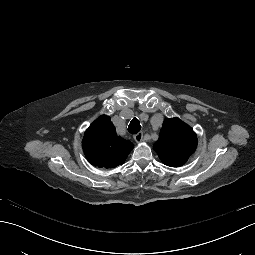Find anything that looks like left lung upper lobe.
<instances>
[{
	"instance_id": "1",
	"label": "left lung upper lobe",
	"mask_w": 255,
	"mask_h": 255,
	"mask_svg": "<svg viewBox=\"0 0 255 255\" xmlns=\"http://www.w3.org/2000/svg\"><path fill=\"white\" fill-rule=\"evenodd\" d=\"M197 146V137L191 127L178 118L165 119L159 139L153 149L168 166L183 165Z\"/></svg>"
}]
</instances>
